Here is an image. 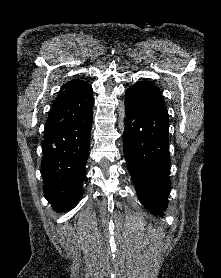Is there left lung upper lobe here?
I'll return each mask as SVG.
<instances>
[{"instance_id":"5c2ea615","label":"left lung upper lobe","mask_w":221,"mask_h":278,"mask_svg":"<svg viewBox=\"0 0 221 278\" xmlns=\"http://www.w3.org/2000/svg\"><path fill=\"white\" fill-rule=\"evenodd\" d=\"M125 103L139 110H166L160 90L150 81H141L129 87Z\"/></svg>"}]
</instances>
